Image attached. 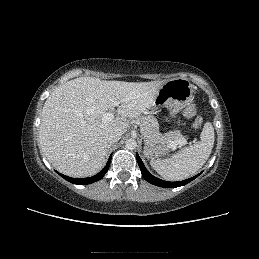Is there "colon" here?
Here are the masks:
<instances>
[{"mask_svg": "<svg viewBox=\"0 0 259 259\" xmlns=\"http://www.w3.org/2000/svg\"><path fill=\"white\" fill-rule=\"evenodd\" d=\"M184 114L187 118L193 120V125L196 129L201 128L202 126V118L197 114V109L194 103H190L185 111Z\"/></svg>", "mask_w": 259, "mask_h": 259, "instance_id": "5ec220e1", "label": "colon"}]
</instances>
